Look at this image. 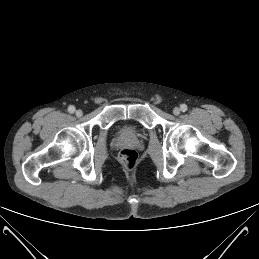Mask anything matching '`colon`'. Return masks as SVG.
Listing matches in <instances>:
<instances>
[{
	"label": "colon",
	"mask_w": 259,
	"mask_h": 259,
	"mask_svg": "<svg viewBox=\"0 0 259 259\" xmlns=\"http://www.w3.org/2000/svg\"><path fill=\"white\" fill-rule=\"evenodd\" d=\"M119 159L125 167L131 168L136 163L137 153L132 149H123L119 153Z\"/></svg>",
	"instance_id": "obj_1"
}]
</instances>
